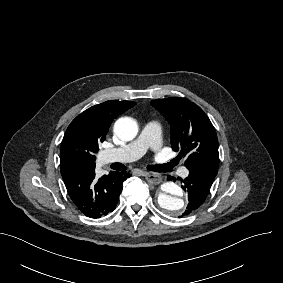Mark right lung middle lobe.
Wrapping results in <instances>:
<instances>
[{"mask_svg":"<svg viewBox=\"0 0 283 283\" xmlns=\"http://www.w3.org/2000/svg\"><path fill=\"white\" fill-rule=\"evenodd\" d=\"M98 146L85 147L84 145L68 144L61 147L60 169L64 175L70 171L95 167V153L98 152Z\"/></svg>","mask_w":283,"mask_h":283,"instance_id":"1","label":"right lung middle lobe"}]
</instances>
